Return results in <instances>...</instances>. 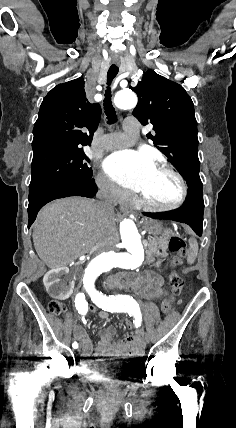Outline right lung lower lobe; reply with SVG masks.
I'll list each match as a JSON object with an SVG mask.
<instances>
[{
  "label": "right lung lower lobe",
  "instance_id": "98d812e1",
  "mask_svg": "<svg viewBox=\"0 0 236 428\" xmlns=\"http://www.w3.org/2000/svg\"><path fill=\"white\" fill-rule=\"evenodd\" d=\"M97 192L93 179L59 180L29 188L28 228L35 221L38 211L48 202L69 196L92 198Z\"/></svg>",
  "mask_w": 236,
  "mask_h": 428
}]
</instances>
